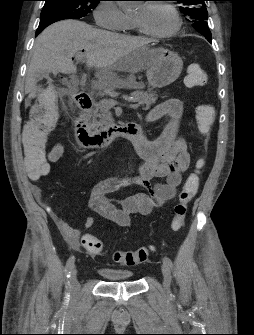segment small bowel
Returning <instances> with one entry per match:
<instances>
[{"label":"small bowel","mask_w":254,"mask_h":335,"mask_svg":"<svg viewBox=\"0 0 254 335\" xmlns=\"http://www.w3.org/2000/svg\"><path fill=\"white\" fill-rule=\"evenodd\" d=\"M182 115L183 102L176 98L167 99L150 111L147 117L149 122L156 121L163 116H169L170 122L155 139L150 140L143 135L140 140L133 142L135 151L141 159L137 174L110 178L97 184L88 201L91 210L120 227H128L131 222V215H147L154 208L176 197L178 187L182 183L183 174L190 165V154L187 150L186 141L179 133ZM63 153L62 143L56 142L51 147L47 153V158H45L48 160L49 172L50 164L57 162ZM159 178L164 179V181L154 182L155 179ZM31 179L37 180L39 178ZM132 184L146 188L147 192L126 197L122 201L121 207H117L106 198L107 193ZM50 214L69 247L78 249L80 247L81 230L69 225L65 219L58 217L56 213L51 211ZM93 224V217L89 216L85 219L84 225L86 228L92 227ZM89 236L92 235L85 234L82 239Z\"/></svg>","instance_id":"c3829d8e"}]
</instances>
